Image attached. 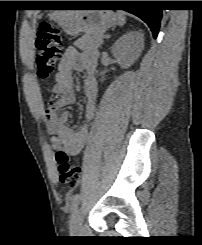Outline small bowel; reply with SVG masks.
Returning a JSON list of instances; mask_svg holds the SVG:
<instances>
[{"instance_id": "small-bowel-1", "label": "small bowel", "mask_w": 202, "mask_h": 245, "mask_svg": "<svg viewBox=\"0 0 202 245\" xmlns=\"http://www.w3.org/2000/svg\"><path fill=\"white\" fill-rule=\"evenodd\" d=\"M96 64L95 55H88L75 47L67 48L59 63L53 97L47 103L44 113L48 129L56 135L52 139V147L56 152L64 151L75 156L84 149L87 142V124L78 130L72 129L68 125L70 113L60 112V109L75 102L73 74L86 72L82 86L86 99L84 117L86 122L93 118L98 98Z\"/></svg>"}]
</instances>
